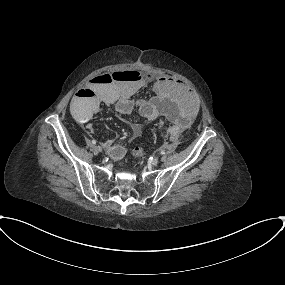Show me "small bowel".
I'll return each instance as SVG.
<instances>
[{"instance_id":"obj_1","label":"small bowel","mask_w":285,"mask_h":285,"mask_svg":"<svg viewBox=\"0 0 285 285\" xmlns=\"http://www.w3.org/2000/svg\"><path fill=\"white\" fill-rule=\"evenodd\" d=\"M124 72L128 71L100 74L88 86L79 89L70 101L73 116L85 125L90 134H95L90 119L98 112L102 103L113 106L121 115L137 111L140 116L150 120L164 117L172 123L168 128V135L174 142H180L182 132L190 127L198 114L197 101L185 84L168 76L154 78L141 73L139 80L135 82L116 77ZM106 78L110 82H106ZM149 83L152 84L154 95L135 99V94ZM139 134L138 125L133 124L131 138L135 139ZM102 145L115 160H120L126 154V147L114 144L111 139H103Z\"/></svg>"}]
</instances>
